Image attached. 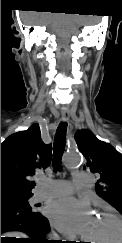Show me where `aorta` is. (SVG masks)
Instances as JSON below:
<instances>
[{"instance_id":"1","label":"aorta","mask_w":122,"mask_h":243,"mask_svg":"<svg viewBox=\"0 0 122 243\" xmlns=\"http://www.w3.org/2000/svg\"><path fill=\"white\" fill-rule=\"evenodd\" d=\"M82 158L78 151H69L64 157V163L67 168H76L81 164Z\"/></svg>"}]
</instances>
